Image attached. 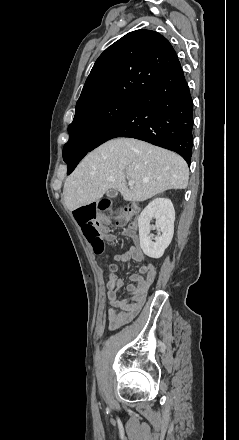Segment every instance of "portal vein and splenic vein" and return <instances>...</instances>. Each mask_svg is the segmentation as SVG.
I'll return each mask as SVG.
<instances>
[{
    "instance_id": "obj_1",
    "label": "portal vein and splenic vein",
    "mask_w": 239,
    "mask_h": 440,
    "mask_svg": "<svg viewBox=\"0 0 239 440\" xmlns=\"http://www.w3.org/2000/svg\"><path fill=\"white\" fill-rule=\"evenodd\" d=\"M128 186H130V188H134V182H133V180H129V182H128Z\"/></svg>"
}]
</instances>
